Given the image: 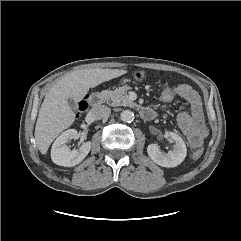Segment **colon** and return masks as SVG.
<instances>
[{"label":"colon","instance_id":"colon-1","mask_svg":"<svg viewBox=\"0 0 241 241\" xmlns=\"http://www.w3.org/2000/svg\"><path fill=\"white\" fill-rule=\"evenodd\" d=\"M174 96L175 95H174L173 88L171 86H166L161 90L159 99L163 103H169L173 100ZM86 107H87V103L85 100H83L79 103L80 111L85 110ZM202 154H203V151L201 149H198L193 153L192 157H193V159L197 160L202 156Z\"/></svg>","mask_w":241,"mask_h":241}]
</instances>
